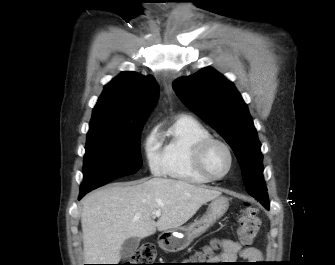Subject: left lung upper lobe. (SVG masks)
<instances>
[{
  "label": "left lung upper lobe",
  "instance_id": "obj_1",
  "mask_svg": "<svg viewBox=\"0 0 335 265\" xmlns=\"http://www.w3.org/2000/svg\"><path fill=\"white\" fill-rule=\"evenodd\" d=\"M177 95L231 146L242 170L247 192L269 208L263 179V156L257 131L232 82L212 68L174 81Z\"/></svg>",
  "mask_w": 335,
  "mask_h": 265
}]
</instances>
